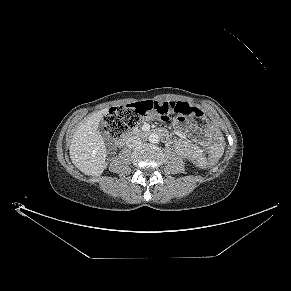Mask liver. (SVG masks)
Returning a JSON list of instances; mask_svg holds the SVG:
<instances>
[{"instance_id": "6515ba94", "label": "liver", "mask_w": 291, "mask_h": 291, "mask_svg": "<svg viewBox=\"0 0 291 291\" xmlns=\"http://www.w3.org/2000/svg\"><path fill=\"white\" fill-rule=\"evenodd\" d=\"M107 110L105 108L97 111L87 118L71 139L69 147L71 161L85 175L98 176L106 167V147L98 127Z\"/></svg>"}]
</instances>
